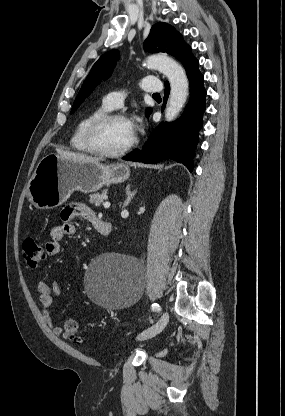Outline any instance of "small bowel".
I'll return each mask as SVG.
<instances>
[{
  "mask_svg": "<svg viewBox=\"0 0 285 416\" xmlns=\"http://www.w3.org/2000/svg\"><path fill=\"white\" fill-rule=\"evenodd\" d=\"M62 223L54 226L50 230V241L46 243V252L49 256H57L61 253V240L64 237L72 236L76 232V227L73 223L75 218H81L90 222L94 227L102 221L95 212L88 206L81 203H74L65 206L60 213ZM39 301L42 306V314L44 321L57 336L63 335L61 327L54 323L52 317V308L55 298L60 294L59 284L54 281L51 284L40 282L38 284Z\"/></svg>",
  "mask_w": 285,
  "mask_h": 416,
  "instance_id": "obj_1",
  "label": "small bowel"
}]
</instances>
